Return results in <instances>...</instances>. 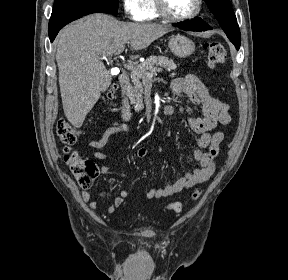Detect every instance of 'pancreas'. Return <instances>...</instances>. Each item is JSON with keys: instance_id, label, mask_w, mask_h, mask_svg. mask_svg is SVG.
Returning <instances> with one entry per match:
<instances>
[{"instance_id": "1", "label": "pancreas", "mask_w": 288, "mask_h": 280, "mask_svg": "<svg viewBox=\"0 0 288 280\" xmlns=\"http://www.w3.org/2000/svg\"><path fill=\"white\" fill-rule=\"evenodd\" d=\"M164 67L169 71L175 70L177 65L172 59L164 56H150L145 62L136 66L137 71L132 72L131 81L133 86L127 90V96L129 97L136 112L143 110V91L144 86L150 82L147 78V74L151 73L157 68Z\"/></svg>"}]
</instances>
